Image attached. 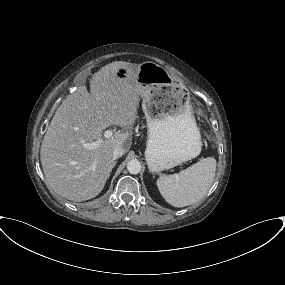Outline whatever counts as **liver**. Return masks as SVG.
<instances>
[{
	"label": "liver",
	"instance_id": "liver-1",
	"mask_svg": "<svg viewBox=\"0 0 285 285\" xmlns=\"http://www.w3.org/2000/svg\"><path fill=\"white\" fill-rule=\"evenodd\" d=\"M137 66L122 61L105 65L91 79V93L80 86L56 110L41 144L40 160L48 184L58 195L75 202L96 197L116 164L114 149H130L140 93L133 78H118L116 71ZM111 125L122 130L103 138ZM99 139L102 142L95 150L83 147Z\"/></svg>",
	"mask_w": 285,
	"mask_h": 285
}]
</instances>
